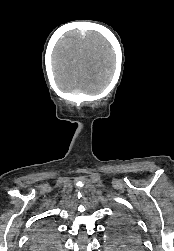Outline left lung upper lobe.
Returning <instances> with one entry per match:
<instances>
[{"label": "left lung upper lobe", "instance_id": "obj_1", "mask_svg": "<svg viewBox=\"0 0 174 251\" xmlns=\"http://www.w3.org/2000/svg\"><path fill=\"white\" fill-rule=\"evenodd\" d=\"M110 242L115 246L125 243L136 246L139 243L137 229L128 216L124 214L117 216L111 226Z\"/></svg>", "mask_w": 174, "mask_h": 251}]
</instances>
